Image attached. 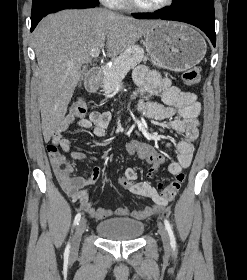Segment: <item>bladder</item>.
I'll return each mask as SVG.
<instances>
[{"mask_svg": "<svg viewBox=\"0 0 247 280\" xmlns=\"http://www.w3.org/2000/svg\"><path fill=\"white\" fill-rule=\"evenodd\" d=\"M144 228L143 222L126 217L103 220L96 226L100 236L117 241L135 240L143 234Z\"/></svg>", "mask_w": 247, "mask_h": 280, "instance_id": "bladder-1", "label": "bladder"}]
</instances>
